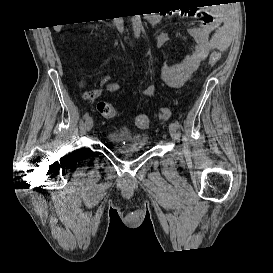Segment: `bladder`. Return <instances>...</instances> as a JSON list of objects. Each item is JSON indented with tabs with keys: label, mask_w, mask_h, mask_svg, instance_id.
<instances>
[{
	"label": "bladder",
	"mask_w": 273,
	"mask_h": 273,
	"mask_svg": "<svg viewBox=\"0 0 273 273\" xmlns=\"http://www.w3.org/2000/svg\"><path fill=\"white\" fill-rule=\"evenodd\" d=\"M106 139L119 155H132L148 146L149 137L145 132H133L128 127L110 131Z\"/></svg>",
	"instance_id": "obj_1"
}]
</instances>
